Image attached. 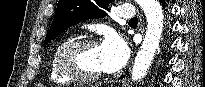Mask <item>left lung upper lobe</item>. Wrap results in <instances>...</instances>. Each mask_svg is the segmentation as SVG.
<instances>
[{
  "label": "left lung upper lobe",
  "mask_w": 205,
  "mask_h": 87,
  "mask_svg": "<svg viewBox=\"0 0 205 87\" xmlns=\"http://www.w3.org/2000/svg\"><path fill=\"white\" fill-rule=\"evenodd\" d=\"M111 0H59L53 23L46 35L44 46L70 26L84 20L101 18Z\"/></svg>",
  "instance_id": "5c2ea615"
}]
</instances>
